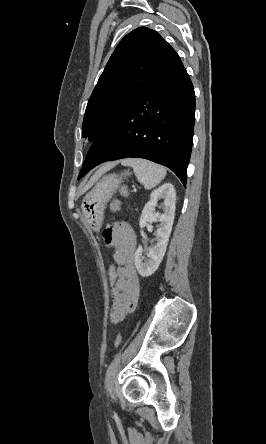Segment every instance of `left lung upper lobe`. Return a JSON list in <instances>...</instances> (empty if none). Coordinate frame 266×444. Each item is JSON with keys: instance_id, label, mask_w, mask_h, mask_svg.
<instances>
[{"instance_id": "1", "label": "left lung upper lobe", "mask_w": 266, "mask_h": 444, "mask_svg": "<svg viewBox=\"0 0 266 444\" xmlns=\"http://www.w3.org/2000/svg\"><path fill=\"white\" fill-rule=\"evenodd\" d=\"M179 64L176 51L156 31L139 27L127 34L89 98L82 124L89 141H95L114 119ZM81 177L79 174L78 179Z\"/></svg>"}]
</instances>
